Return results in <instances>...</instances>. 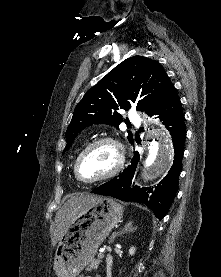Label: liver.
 Instances as JSON below:
<instances>
[{
    "instance_id": "1",
    "label": "liver",
    "mask_w": 221,
    "mask_h": 277,
    "mask_svg": "<svg viewBox=\"0 0 221 277\" xmlns=\"http://www.w3.org/2000/svg\"><path fill=\"white\" fill-rule=\"evenodd\" d=\"M100 197L93 194H80L71 197L55 216V229L52 234V245L55 246L61 237L66 233L70 222L78 213L88 205L96 202Z\"/></svg>"
}]
</instances>
